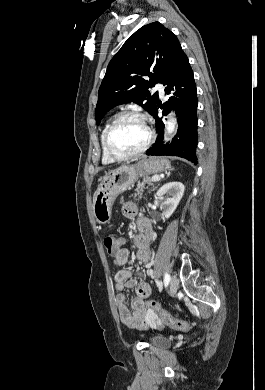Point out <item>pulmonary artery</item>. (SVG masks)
Masks as SVG:
<instances>
[{"label":"pulmonary artery","mask_w":265,"mask_h":390,"mask_svg":"<svg viewBox=\"0 0 265 390\" xmlns=\"http://www.w3.org/2000/svg\"><path fill=\"white\" fill-rule=\"evenodd\" d=\"M155 89L159 91L161 96H163V94H164V86L161 83H157L155 85Z\"/></svg>","instance_id":"1"}]
</instances>
